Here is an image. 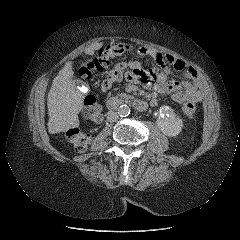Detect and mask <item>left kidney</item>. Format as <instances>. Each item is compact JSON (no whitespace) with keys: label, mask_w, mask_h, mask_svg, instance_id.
Returning <instances> with one entry per match:
<instances>
[{"label":"left kidney","mask_w":240,"mask_h":240,"mask_svg":"<svg viewBox=\"0 0 240 240\" xmlns=\"http://www.w3.org/2000/svg\"><path fill=\"white\" fill-rule=\"evenodd\" d=\"M156 124L161 132L169 137L177 136L183 127L182 119L169 106L160 108Z\"/></svg>","instance_id":"left-kidney-1"}]
</instances>
